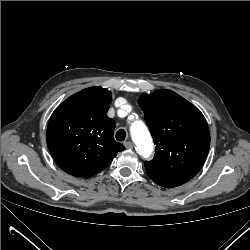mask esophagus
Here are the masks:
<instances>
[{"label": "esophagus", "instance_id": "obj_1", "mask_svg": "<svg viewBox=\"0 0 250 250\" xmlns=\"http://www.w3.org/2000/svg\"><path fill=\"white\" fill-rule=\"evenodd\" d=\"M124 145H125V147H126L127 149H132V148H133V143H132L131 141H126V142L124 143Z\"/></svg>", "mask_w": 250, "mask_h": 250}]
</instances>
